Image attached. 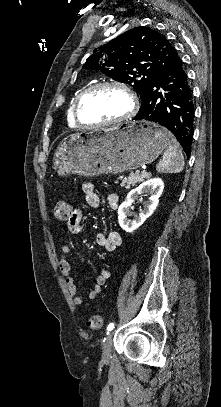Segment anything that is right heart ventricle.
<instances>
[{"instance_id":"obj_1","label":"right heart ventricle","mask_w":221,"mask_h":407,"mask_svg":"<svg viewBox=\"0 0 221 407\" xmlns=\"http://www.w3.org/2000/svg\"><path fill=\"white\" fill-rule=\"evenodd\" d=\"M87 88H89V86H82V87H80L79 89H77V90L73 93V95H72V97H71V99H70V101H69V104H68V106H67V121H68V124H69V125H73V126L76 125L75 120H74V118H73L74 105H75V103H76L78 97H79Z\"/></svg>"}]
</instances>
